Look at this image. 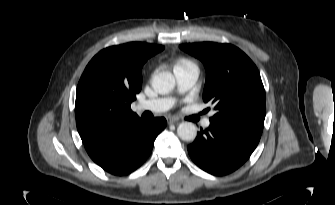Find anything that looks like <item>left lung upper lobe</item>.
Here are the masks:
<instances>
[{
	"instance_id": "5c2ea615",
	"label": "left lung upper lobe",
	"mask_w": 335,
	"mask_h": 205,
	"mask_svg": "<svg viewBox=\"0 0 335 205\" xmlns=\"http://www.w3.org/2000/svg\"><path fill=\"white\" fill-rule=\"evenodd\" d=\"M179 47L205 66L203 100L214 104L217 111L211 119L261 134L266 115L265 90L250 58L230 44L201 42Z\"/></svg>"
}]
</instances>
